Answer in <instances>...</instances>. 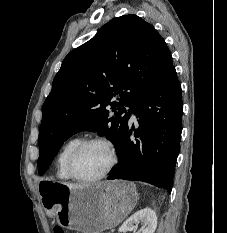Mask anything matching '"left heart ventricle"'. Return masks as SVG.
<instances>
[{
  "label": "left heart ventricle",
  "instance_id": "1",
  "mask_svg": "<svg viewBox=\"0 0 227 233\" xmlns=\"http://www.w3.org/2000/svg\"><path fill=\"white\" fill-rule=\"evenodd\" d=\"M109 164V153L101 144L83 147L74 159V171L82 177H91L102 173Z\"/></svg>",
  "mask_w": 227,
  "mask_h": 233
}]
</instances>
